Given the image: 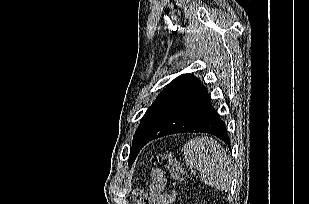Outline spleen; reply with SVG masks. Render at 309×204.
Listing matches in <instances>:
<instances>
[{
    "mask_svg": "<svg viewBox=\"0 0 309 204\" xmlns=\"http://www.w3.org/2000/svg\"><path fill=\"white\" fill-rule=\"evenodd\" d=\"M188 166L200 172V179L206 185L221 191H228L233 179V166L223 147L212 138L197 137L183 147Z\"/></svg>",
    "mask_w": 309,
    "mask_h": 204,
    "instance_id": "1",
    "label": "spleen"
}]
</instances>
